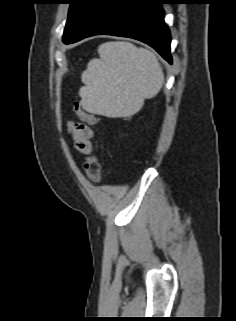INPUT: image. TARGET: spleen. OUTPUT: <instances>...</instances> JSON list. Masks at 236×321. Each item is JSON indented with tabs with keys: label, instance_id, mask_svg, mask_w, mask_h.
Segmentation results:
<instances>
[{
	"label": "spleen",
	"instance_id": "spleen-1",
	"mask_svg": "<svg viewBox=\"0 0 236 321\" xmlns=\"http://www.w3.org/2000/svg\"><path fill=\"white\" fill-rule=\"evenodd\" d=\"M98 52L100 59H92L81 77L84 86L79 95L87 112L129 116L161 89L162 68L151 51L128 42H107Z\"/></svg>",
	"mask_w": 236,
	"mask_h": 321
}]
</instances>
